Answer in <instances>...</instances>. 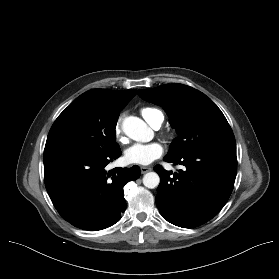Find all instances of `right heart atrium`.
Instances as JSON below:
<instances>
[{
    "label": "right heart atrium",
    "instance_id": "1",
    "mask_svg": "<svg viewBox=\"0 0 279 279\" xmlns=\"http://www.w3.org/2000/svg\"><path fill=\"white\" fill-rule=\"evenodd\" d=\"M114 135L118 142L124 143L126 141L120 121H118L114 126Z\"/></svg>",
    "mask_w": 279,
    "mask_h": 279
}]
</instances>
